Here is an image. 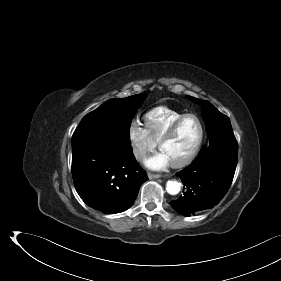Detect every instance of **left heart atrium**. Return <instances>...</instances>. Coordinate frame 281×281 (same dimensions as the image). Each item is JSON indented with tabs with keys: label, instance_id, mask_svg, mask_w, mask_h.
I'll return each mask as SVG.
<instances>
[{
	"label": "left heart atrium",
	"instance_id": "obj_1",
	"mask_svg": "<svg viewBox=\"0 0 281 281\" xmlns=\"http://www.w3.org/2000/svg\"><path fill=\"white\" fill-rule=\"evenodd\" d=\"M171 161L169 158L161 151L159 153H156L153 156H150L149 158L146 159L145 165L154 170H162L166 168Z\"/></svg>",
	"mask_w": 281,
	"mask_h": 281
}]
</instances>
